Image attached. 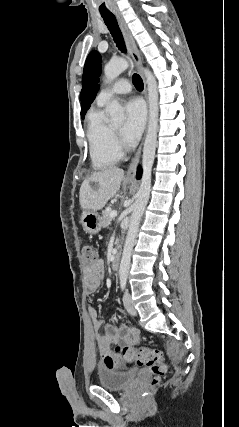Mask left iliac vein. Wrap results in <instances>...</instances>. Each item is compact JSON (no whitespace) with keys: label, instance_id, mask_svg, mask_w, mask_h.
Instances as JSON below:
<instances>
[{"label":"left iliac vein","instance_id":"obj_1","mask_svg":"<svg viewBox=\"0 0 239 427\" xmlns=\"http://www.w3.org/2000/svg\"><path fill=\"white\" fill-rule=\"evenodd\" d=\"M123 303H124L125 309L127 310V312L130 315H132V316H136L137 315V311H136V309L134 307L133 301L131 299V295H130V293L128 291H126L124 293Z\"/></svg>","mask_w":239,"mask_h":427}]
</instances>
